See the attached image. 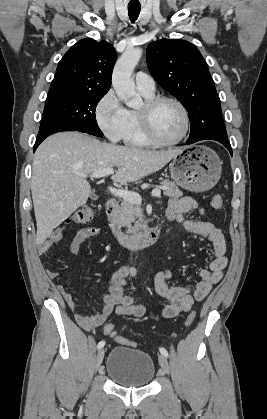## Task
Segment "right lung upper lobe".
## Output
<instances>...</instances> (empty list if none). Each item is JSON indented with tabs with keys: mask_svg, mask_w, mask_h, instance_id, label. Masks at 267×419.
Listing matches in <instances>:
<instances>
[{
	"mask_svg": "<svg viewBox=\"0 0 267 419\" xmlns=\"http://www.w3.org/2000/svg\"><path fill=\"white\" fill-rule=\"evenodd\" d=\"M116 59L115 49L108 42L80 40L60 60L49 93H107Z\"/></svg>",
	"mask_w": 267,
	"mask_h": 419,
	"instance_id": "obj_1",
	"label": "right lung upper lobe"
}]
</instances>
